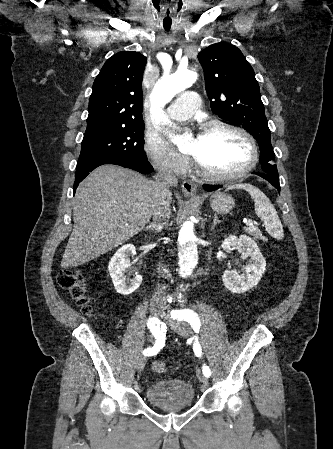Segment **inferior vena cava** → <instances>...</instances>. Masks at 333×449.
I'll return each mask as SVG.
<instances>
[{"instance_id": "obj_1", "label": "inferior vena cava", "mask_w": 333, "mask_h": 449, "mask_svg": "<svg viewBox=\"0 0 333 449\" xmlns=\"http://www.w3.org/2000/svg\"><path fill=\"white\" fill-rule=\"evenodd\" d=\"M178 180L172 170H169L168 168L161 167L159 169L156 181H155V188L157 191V200L156 205L153 211V216L155 220H161L164 221L168 220L170 218V204L168 200L169 196V189L171 186L177 185ZM163 286H158L156 293L152 296L151 301L155 302L157 301L158 296H160L163 293Z\"/></svg>"}]
</instances>
